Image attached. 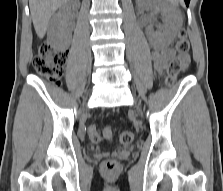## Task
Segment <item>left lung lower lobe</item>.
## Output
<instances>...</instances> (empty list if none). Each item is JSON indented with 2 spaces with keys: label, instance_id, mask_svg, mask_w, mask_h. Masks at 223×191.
Wrapping results in <instances>:
<instances>
[{
  "label": "left lung lower lobe",
  "instance_id": "1",
  "mask_svg": "<svg viewBox=\"0 0 223 191\" xmlns=\"http://www.w3.org/2000/svg\"><path fill=\"white\" fill-rule=\"evenodd\" d=\"M185 2H186V5L188 6V5H189L190 0H185Z\"/></svg>",
  "mask_w": 223,
  "mask_h": 191
}]
</instances>
